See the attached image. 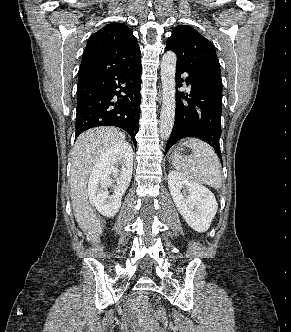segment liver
Listing matches in <instances>:
<instances>
[{
  "mask_svg": "<svg viewBox=\"0 0 291 332\" xmlns=\"http://www.w3.org/2000/svg\"><path fill=\"white\" fill-rule=\"evenodd\" d=\"M125 142V135L113 127H98L82 133L72 150L70 195L75 219L87 235V241L97 243L102 226L88 202L87 182L102 153L117 143Z\"/></svg>",
  "mask_w": 291,
  "mask_h": 332,
  "instance_id": "liver-1",
  "label": "liver"
}]
</instances>
